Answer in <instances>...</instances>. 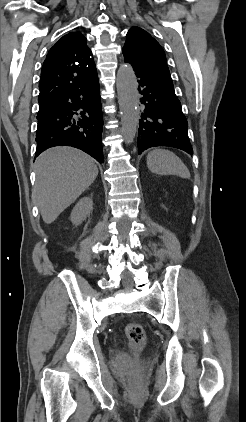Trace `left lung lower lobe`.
I'll return each instance as SVG.
<instances>
[{
    "mask_svg": "<svg viewBox=\"0 0 246 422\" xmlns=\"http://www.w3.org/2000/svg\"><path fill=\"white\" fill-rule=\"evenodd\" d=\"M125 62L130 63L125 59ZM131 64V63H130ZM132 65V64H131ZM143 104L138 131V154L150 147L169 146L193 154L181 103L175 91L133 66Z\"/></svg>",
    "mask_w": 246,
    "mask_h": 422,
    "instance_id": "1",
    "label": "left lung lower lobe"
}]
</instances>
